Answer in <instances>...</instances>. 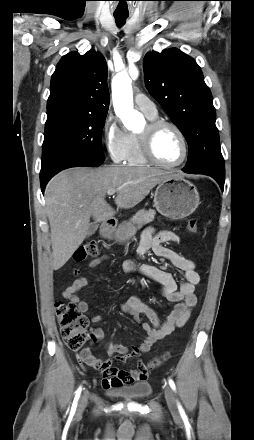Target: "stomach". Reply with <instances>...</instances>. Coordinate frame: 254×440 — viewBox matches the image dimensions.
Masks as SVG:
<instances>
[{
  "mask_svg": "<svg viewBox=\"0 0 254 440\" xmlns=\"http://www.w3.org/2000/svg\"><path fill=\"white\" fill-rule=\"evenodd\" d=\"M199 193L196 187L179 175L171 174L158 183L154 193V206L157 211L172 220H179L190 216L199 205ZM125 224L107 237L119 242L128 240L133 234L123 232Z\"/></svg>",
  "mask_w": 254,
  "mask_h": 440,
  "instance_id": "0dacf381",
  "label": "stomach"
}]
</instances>
